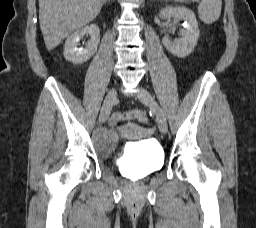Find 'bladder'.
<instances>
[{
  "mask_svg": "<svg viewBox=\"0 0 256 228\" xmlns=\"http://www.w3.org/2000/svg\"><path fill=\"white\" fill-rule=\"evenodd\" d=\"M119 138V132L116 129L101 131L95 136V147L101 154L111 155L118 145ZM125 154L124 167L137 179L146 177L163 166V150L150 141L133 145Z\"/></svg>",
  "mask_w": 256,
  "mask_h": 228,
  "instance_id": "1",
  "label": "bladder"
}]
</instances>
